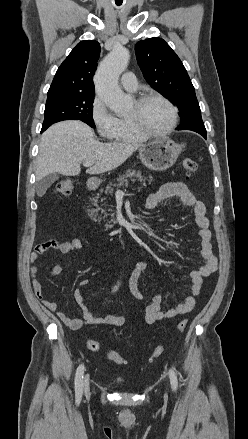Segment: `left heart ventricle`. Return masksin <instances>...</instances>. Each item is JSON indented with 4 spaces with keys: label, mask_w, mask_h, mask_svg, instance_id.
Listing matches in <instances>:
<instances>
[{
    "label": "left heart ventricle",
    "mask_w": 248,
    "mask_h": 439,
    "mask_svg": "<svg viewBox=\"0 0 248 439\" xmlns=\"http://www.w3.org/2000/svg\"><path fill=\"white\" fill-rule=\"evenodd\" d=\"M136 110V103H134L129 116ZM141 116L144 126L154 132H161L166 130L172 120V113L170 108L159 99L149 100L141 110Z\"/></svg>",
    "instance_id": "obj_1"
}]
</instances>
